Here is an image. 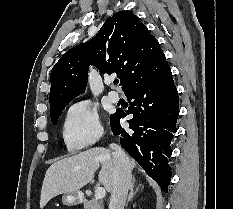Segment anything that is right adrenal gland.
Here are the masks:
<instances>
[{
  "label": "right adrenal gland",
  "mask_w": 233,
  "mask_h": 209,
  "mask_svg": "<svg viewBox=\"0 0 233 209\" xmlns=\"http://www.w3.org/2000/svg\"><path fill=\"white\" fill-rule=\"evenodd\" d=\"M134 184H135V177L133 176L132 183H131V186H130V193H129V196L127 198L126 204H128V202L132 200V198L134 197L135 193L138 191L139 187L141 186V185H139L136 188V190L134 191Z\"/></svg>",
  "instance_id": "obj_1"
}]
</instances>
